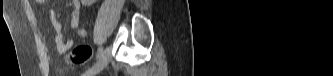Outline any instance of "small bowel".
Returning a JSON list of instances; mask_svg holds the SVG:
<instances>
[{
	"instance_id": "obj_1",
	"label": "small bowel",
	"mask_w": 333,
	"mask_h": 76,
	"mask_svg": "<svg viewBox=\"0 0 333 76\" xmlns=\"http://www.w3.org/2000/svg\"><path fill=\"white\" fill-rule=\"evenodd\" d=\"M81 3L82 1L80 0L72 1L73 11L69 22V27L70 30L75 33V36L69 39L64 38L62 33V26L61 23L56 18L55 11L53 9H49L52 26L54 28L53 40L55 43L56 50L60 53L66 52L75 44L77 39H82L86 36V30L79 27V22H80L79 12H80Z\"/></svg>"
}]
</instances>
